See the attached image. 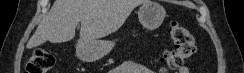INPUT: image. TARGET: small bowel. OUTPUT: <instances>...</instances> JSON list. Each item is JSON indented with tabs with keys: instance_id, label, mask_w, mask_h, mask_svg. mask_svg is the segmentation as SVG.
Listing matches in <instances>:
<instances>
[{
	"instance_id": "c3829d8e",
	"label": "small bowel",
	"mask_w": 244,
	"mask_h": 73,
	"mask_svg": "<svg viewBox=\"0 0 244 73\" xmlns=\"http://www.w3.org/2000/svg\"><path fill=\"white\" fill-rule=\"evenodd\" d=\"M111 73H153L145 65L136 61H125L113 70ZM178 73H190L187 66H181Z\"/></svg>"
}]
</instances>
